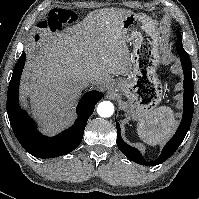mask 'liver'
Masks as SVG:
<instances>
[{
    "mask_svg": "<svg viewBox=\"0 0 199 199\" xmlns=\"http://www.w3.org/2000/svg\"><path fill=\"white\" fill-rule=\"evenodd\" d=\"M131 13L118 8L94 10L28 52L24 89L37 119L49 125L62 121L86 87L87 77L96 78L95 85L103 87L111 82L110 75L131 72L122 31V22Z\"/></svg>",
    "mask_w": 199,
    "mask_h": 199,
    "instance_id": "1",
    "label": "liver"
}]
</instances>
